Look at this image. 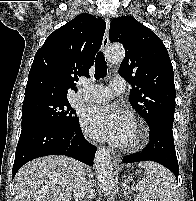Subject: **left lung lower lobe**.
Listing matches in <instances>:
<instances>
[{
  "instance_id": "1",
  "label": "left lung lower lobe",
  "mask_w": 196,
  "mask_h": 201,
  "mask_svg": "<svg viewBox=\"0 0 196 201\" xmlns=\"http://www.w3.org/2000/svg\"><path fill=\"white\" fill-rule=\"evenodd\" d=\"M154 161L174 173L178 179L179 166L175 152L172 124L150 128V142L140 153L123 158V163Z\"/></svg>"
}]
</instances>
